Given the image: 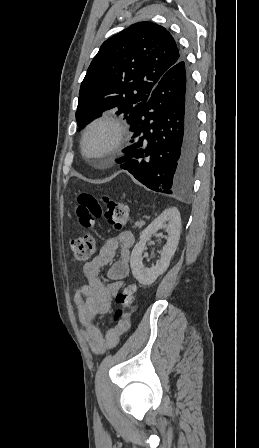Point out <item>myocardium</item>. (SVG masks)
<instances>
[{"label":"myocardium","instance_id":"myocardium-1","mask_svg":"<svg viewBox=\"0 0 259 448\" xmlns=\"http://www.w3.org/2000/svg\"><path fill=\"white\" fill-rule=\"evenodd\" d=\"M106 128L110 132V137L102 148V159L112 161L116 156V151L121 144L124 136V126L122 122L111 115H100L92 119L83 129L80 138V154L83 159L89 161L87 156L86 141L92 130L95 128Z\"/></svg>","mask_w":259,"mask_h":448}]
</instances>
